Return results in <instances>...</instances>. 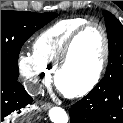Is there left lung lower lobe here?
I'll use <instances>...</instances> for the list:
<instances>
[{
    "instance_id": "1",
    "label": "left lung lower lobe",
    "mask_w": 123,
    "mask_h": 123,
    "mask_svg": "<svg viewBox=\"0 0 123 123\" xmlns=\"http://www.w3.org/2000/svg\"><path fill=\"white\" fill-rule=\"evenodd\" d=\"M71 123H123V80L99 86L69 109Z\"/></svg>"
}]
</instances>
